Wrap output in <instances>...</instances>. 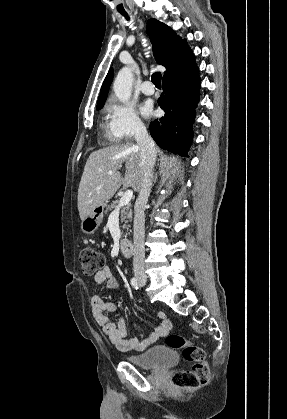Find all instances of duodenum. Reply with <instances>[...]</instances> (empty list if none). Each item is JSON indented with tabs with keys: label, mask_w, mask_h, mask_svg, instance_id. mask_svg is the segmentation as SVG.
I'll list each match as a JSON object with an SVG mask.
<instances>
[{
	"label": "duodenum",
	"mask_w": 287,
	"mask_h": 419,
	"mask_svg": "<svg viewBox=\"0 0 287 419\" xmlns=\"http://www.w3.org/2000/svg\"><path fill=\"white\" fill-rule=\"evenodd\" d=\"M120 251L123 256L130 257L133 254V243L127 238H123L120 242Z\"/></svg>",
	"instance_id": "1"
}]
</instances>
